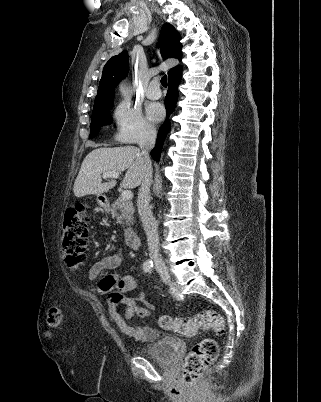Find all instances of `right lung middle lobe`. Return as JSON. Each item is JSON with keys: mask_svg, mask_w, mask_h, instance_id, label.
<instances>
[{"mask_svg": "<svg viewBox=\"0 0 321 402\" xmlns=\"http://www.w3.org/2000/svg\"><path fill=\"white\" fill-rule=\"evenodd\" d=\"M112 108H113V102L105 106L93 108L90 138H94L98 134L101 126L109 125L112 123L109 113V110Z\"/></svg>", "mask_w": 321, "mask_h": 402, "instance_id": "1", "label": "right lung middle lobe"}]
</instances>
